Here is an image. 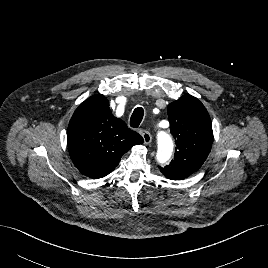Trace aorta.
<instances>
[{"mask_svg":"<svg viewBox=\"0 0 268 268\" xmlns=\"http://www.w3.org/2000/svg\"><path fill=\"white\" fill-rule=\"evenodd\" d=\"M173 151V143L166 132H160L158 135V152L156 158L159 163L167 162Z\"/></svg>","mask_w":268,"mask_h":268,"instance_id":"1","label":"aorta"}]
</instances>
